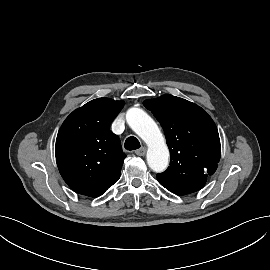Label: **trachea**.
<instances>
[{
  "mask_svg": "<svg viewBox=\"0 0 270 270\" xmlns=\"http://www.w3.org/2000/svg\"><path fill=\"white\" fill-rule=\"evenodd\" d=\"M125 148L127 150H136V149H139L140 148V142L138 141L137 138L131 136V137H128L125 141Z\"/></svg>",
  "mask_w": 270,
  "mask_h": 270,
  "instance_id": "3493384b",
  "label": "trachea"
}]
</instances>
